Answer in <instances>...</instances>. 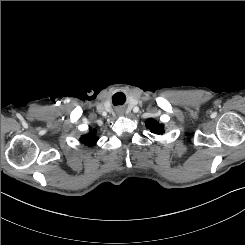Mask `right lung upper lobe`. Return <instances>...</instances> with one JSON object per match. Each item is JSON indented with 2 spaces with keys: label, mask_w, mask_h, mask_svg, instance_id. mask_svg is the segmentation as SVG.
<instances>
[{
  "label": "right lung upper lobe",
  "mask_w": 245,
  "mask_h": 245,
  "mask_svg": "<svg viewBox=\"0 0 245 245\" xmlns=\"http://www.w3.org/2000/svg\"><path fill=\"white\" fill-rule=\"evenodd\" d=\"M96 130L95 129H90V133L89 134H86V135H83L81 138H80V141L88 146V147H91L93 145L96 144V142L98 141V137L96 136Z\"/></svg>",
  "instance_id": "right-lung-upper-lobe-1"
}]
</instances>
